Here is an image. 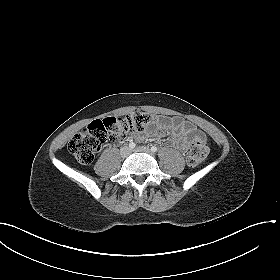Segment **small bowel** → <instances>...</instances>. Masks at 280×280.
Instances as JSON below:
<instances>
[{
  "label": "small bowel",
  "mask_w": 280,
  "mask_h": 280,
  "mask_svg": "<svg viewBox=\"0 0 280 280\" xmlns=\"http://www.w3.org/2000/svg\"><path fill=\"white\" fill-rule=\"evenodd\" d=\"M171 129L175 136V143L183 150L186 151L197 136L203 137V135L192 125L179 117L172 119L163 118L158 124L157 129L149 132L153 136H161L166 130ZM138 139H142V135L136 136Z\"/></svg>",
  "instance_id": "obj_1"
}]
</instances>
